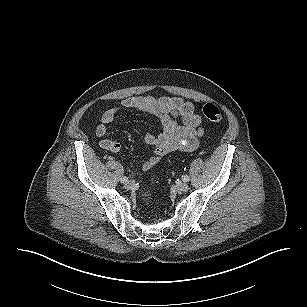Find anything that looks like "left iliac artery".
<instances>
[{
  "mask_svg": "<svg viewBox=\"0 0 307 307\" xmlns=\"http://www.w3.org/2000/svg\"><path fill=\"white\" fill-rule=\"evenodd\" d=\"M182 180L184 182H188L190 179H189V177L187 175H184V176H182Z\"/></svg>",
  "mask_w": 307,
  "mask_h": 307,
  "instance_id": "obj_1",
  "label": "left iliac artery"
}]
</instances>
